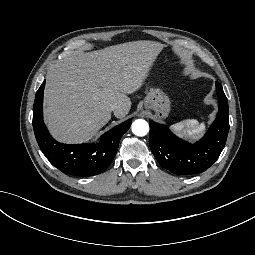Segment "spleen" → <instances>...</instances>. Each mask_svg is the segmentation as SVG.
Instances as JSON below:
<instances>
[{"label":"spleen","instance_id":"3e777b00","mask_svg":"<svg viewBox=\"0 0 255 255\" xmlns=\"http://www.w3.org/2000/svg\"><path fill=\"white\" fill-rule=\"evenodd\" d=\"M170 129L180 137L197 139L202 136V133L205 130V125L203 123L199 125L198 121L195 119H186L171 125Z\"/></svg>","mask_w":255,"mask_h":255}]
</instances>
